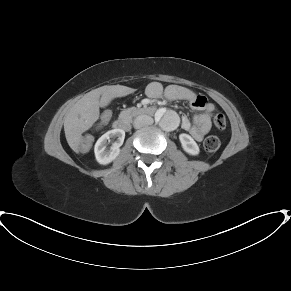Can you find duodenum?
<instances>
[{
	"label": "duodenum",
	"mask_w": 291,
	"mask_h": 291,
	"mask_svg": "<svg viewBox=\"0 0 291 291\" xmlns=\"http://www.w3.org/2000/svg\"><path fill=\"white\" fill-rule=\"evenodd\" d=\"M137 114L153 116L156 113V109L153 107H145L138 109L136 111ZM114 128L116 131L125 132L129 129V119L128 116H123L117 119L114 123Z\"/></svg>",
	"instance_id": "1"
}]
</instances>
